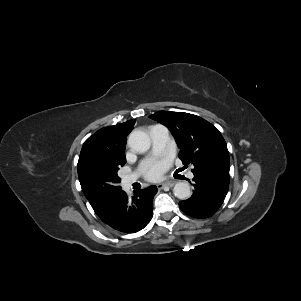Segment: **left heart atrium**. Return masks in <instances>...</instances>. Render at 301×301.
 <instances>
[{"instance_id": "1", "label": "left heart atrium", "mask_w": 301, "mask_h": 301, "mask_svg": "<svg viewBox=\"0 0 301 301\" xmlns=\"http://www.w3.org/2000/svg\"><path fill=\"white\" fill-rule=\"evenodd\" d=\"M171 160L169 158L147 161L143 164V175L147 180H159L169 168Z\"/></svg>"}]
</instances>
